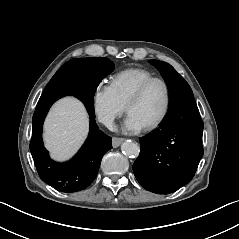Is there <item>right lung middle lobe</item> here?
Segmentation results:
<instances>
[{
    "instance_id": "right-lung-middle-lobe-1",
    "label": "right lung middle lobe",
    "mask_w": 239,
    "mask_h": 239,
    "mask_svg": "<svg viewBox=\"0 0 239 239\" xmlns=\"http://www.w3.org/2000/svg\"><path fill=\"white\" fill-rule=\"evenodd\" d=\"M91 62L94 66L98 68L99 71H102L104 74H110L114 69V64L107 58H77L72 59L65 63L52 77L50 82L45 87L41 98L48 95H52L61 91H64L68 88L77 86L78 84L74 81L77 78L74 77V74L70 71V68L76 67L80 63Z\"/></svg>"
}]
</instances>
